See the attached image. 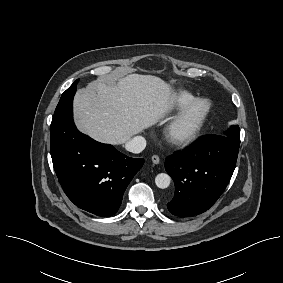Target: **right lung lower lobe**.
I'll list each match as a JSON object with an SVG mask.
<instances>
[{"label": "right lung lower lobe", "instance_id": "right-lung-lower-lobe-1", "mask_svg": "<svg viewBox=\"0 0 283 283\" xmlns=\"http://www.w3.org/2000/svg\"><path fill=\"white\" fill-rule=\"evenodd\" d=\"M76 85L62 94L51 122L52 162L64 192L76 206L109 217L118 211L144 159L127 157L77 130L72 112Z\"/></svg>", "mask_w": 283, "mask_h": 283}]
</instances>
